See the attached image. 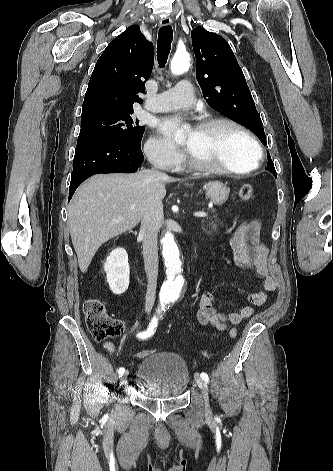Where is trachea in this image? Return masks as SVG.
I'll list each match as a JSON object with an SVG mask.
<instances>
[{
    "mask_svg": "<svg viewBox=\"0 0 333 471\" xmlns=\"http://www.w3.org/2000/svg\"><path fill=\"white\" fill-rule=\"evenodd\" d=\"M172 38L173 31L171 26H164L159 29L157 42V58L160 67H164L167 63Z\"/></svg>",
    "mask_w": 333,
    "mask_h": 471,
    "instance_id": "3493384b",
    "label": "trachea"
}]
</instances>
